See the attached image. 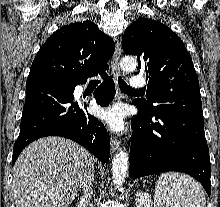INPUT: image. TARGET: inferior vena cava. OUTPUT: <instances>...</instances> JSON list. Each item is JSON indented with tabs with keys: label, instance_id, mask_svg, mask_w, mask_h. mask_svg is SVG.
<instances>
[{
	"label": "inferior vena cava",
	"instance_id": "obj_1",
	"mask_svg": "<svg viewBox=\"0 0 220 207\" xmlns=\"http://www.w3.org/2000/svg\"><path fill=\"white\" fill-rule=\"evenodd\" d=\"M93 180L94 172L93 170L89 171L80 181V187L83 189V196L81 198V203L83 206H87L90 203L93 194Z\"/></svg>",
	"mask_w": 220,
	"mask_h": 207
}]
</instances>
